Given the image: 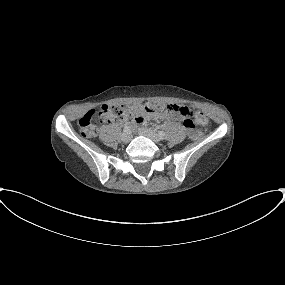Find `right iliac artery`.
I'll return each mask as SVG.
<instances>
[{"instance_id":"right-iliac-artery-1","label":"right iliac artery","mask_w":285,"mask_h":285,"mask_svg":"<svg viewBox=\"0 0 285 285\" xmlns=\"http://www.w3.org/2000/svg\"><path fill=\"white\" fill-rule=\"evenodd\" d=\"M130 128H131L130 125H125L124 128H123V131L124 132H129Z\"/></svg>"}]
</instances>
